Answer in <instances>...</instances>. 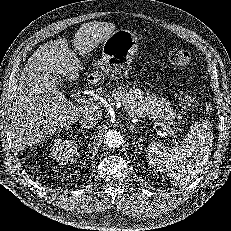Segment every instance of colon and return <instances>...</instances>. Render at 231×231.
<instances>
[{"instance_id":"obj_1","label":"colon","mask_w":231,"mask_h":231,"mask_svg":"<svg viewBox=\"0 0 231 231\" xmlns=\"http://www.w3.org/2000/svg\"><path fill=\"white\" fill-rule=\"evenodd\" d=\"M169 61L177 67H186L191 61V53L186 49L174 48L168 51ZM194 100L193 93L183 88L180 90V105L184 109H189L192 106Z\"/></svg>"}]
</instances>
